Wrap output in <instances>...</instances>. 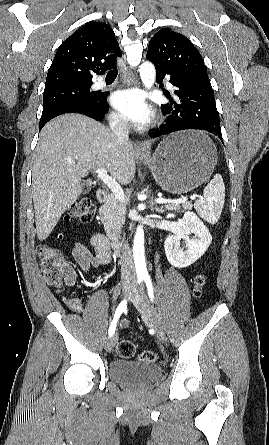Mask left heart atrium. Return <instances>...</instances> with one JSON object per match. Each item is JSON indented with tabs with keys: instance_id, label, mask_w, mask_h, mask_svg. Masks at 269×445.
<instances>
[{
	"instance_id": "39dd6f15",
	"label": "left heart atrium",
	"mask_w": 269,
	"mask_h": 445,
	"mask_svg": "<svg viewBox=\"0 0 269 445\" xmlns=\"http://www.w3.org/2000/svg\"><path fill=\"white\" fill-rule=\"evenodd\" d=\"M112 104L127 120L144 124L150 118V111L142 95L135 90H118L112 96Z\"/></svg>"
}]
</instances>
